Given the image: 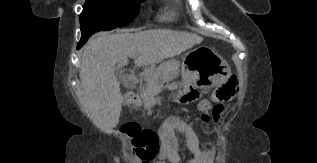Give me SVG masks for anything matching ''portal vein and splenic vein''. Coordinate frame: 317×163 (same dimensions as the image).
<instances>
[{"instance_id":"obj_1","label":"portal vein and splenic vein","mask_w":317,"mask_h":163,"mask_svg":"<svg viewBox=\"0 0 317 163\" xmlns=\"http://www.w3.org/2000/svg\"><path fill=\"white\" fill-rule=\"evenodd\" d=\"M133 59H135V58H133ZM126 78H127L129 81L133 82V83H138V82H139V79L136 78V77H134V76H132V75H126Z\"/></svg>"}]
</instances>
